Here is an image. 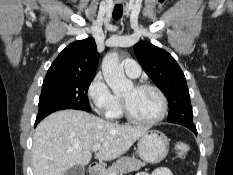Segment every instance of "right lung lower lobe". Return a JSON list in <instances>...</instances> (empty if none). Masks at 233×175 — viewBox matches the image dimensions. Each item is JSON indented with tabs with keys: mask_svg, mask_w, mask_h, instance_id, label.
<instances>
[{
	"mask_svg": "<svg viewBox=\"0 0 233 175\" xmlns=\"http://www.w3.org/2000/svg\"><path fill=\"white\" fill-rule=\"evenodd\" d=\"M47 115H45V116H42V117H37L36 118V121H35V126L43 119V118H45Z\"/></svg>",
	"mask_w": 233,
	"mask_h": 175,
	"instance_id": "right-lung-lower-lobe-1",
	"label": "right lung lower lobe"
}]
</instances>
